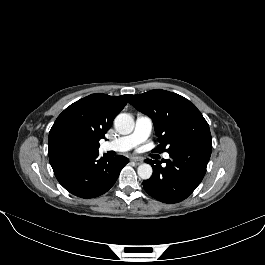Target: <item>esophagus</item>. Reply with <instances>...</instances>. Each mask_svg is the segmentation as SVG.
Here are the masks:
<instances>
[{"instance_id": "34e87169", "label": "esophagus", "mask_w": 265, "mask_h": 265, "mask_svg": "<svg viewBox=\"0 0 265 265\" xmlns=\"http://www.w3.org/2000/svg\"><path fill=\"white\" fill-rule=\"evenodd\" d=\"M132 162H134L136 165H140L143 161L140 158H132Z\"/></svg>"}]
</instances>
